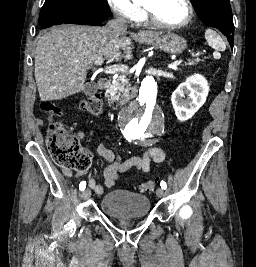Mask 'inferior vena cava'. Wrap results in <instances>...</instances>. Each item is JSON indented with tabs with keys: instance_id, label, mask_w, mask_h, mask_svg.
Here are the masks:
<instances>
[{
	"instance_id": "602c4592",
	"label": "inferior vena cava",
	"mask_w": 256,
	"mask_h": 267,
	"mask_svg": "<svg viewBox=\"0 0 256 267\" xmlns=\"http://www.w3.org/2000/svg\"><path fill=\"white\" fill-rule=\"evenodd\" d=\"M106 28H110L112 32H118V34H125L127 30V20H125L123 14H118L116 20H110Z\"/></svg>"
}]
</instances>
